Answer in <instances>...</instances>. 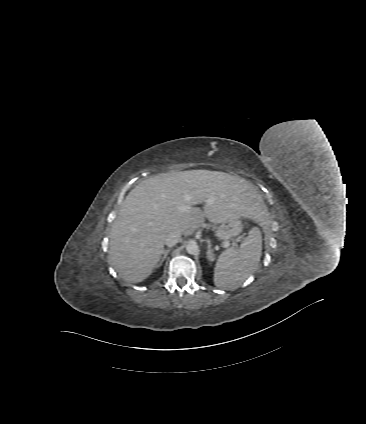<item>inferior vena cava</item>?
<instances>
[{
    "label": "inferior vena cava",
    "mask_w": 366,
    "mask_h": 424,
    "mask_svg": "<svg viewBox=\"0 0 366 424\" xmlns=\"http://www.w3.org/2000/svg\"><path fill=\"white\" fill-rule=\"evenodd\" d=\"M181 239V233L179 231L170 232L165 238V245L168 247L175 246Z\"/></svg>",
    "instance_id": "inferior-vena-cava-1"
}]
</instances>
